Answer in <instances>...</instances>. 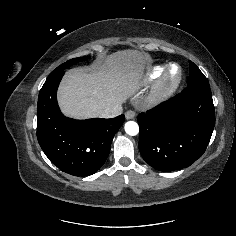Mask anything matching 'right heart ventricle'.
<instances>
[{"label": "right heart ventricle", "mask_w": 236, "mask_h": 236, "mask_svg": "<svg viewBox=\"0 0 236 236\" xmlns=\"http://www.w3.org/2000/svg\"><path fill=\"white\" fill-rule=\"evenodd\" d=\"M166 68H167L166 66L154 67L150 72V78L155 79V78L161 76L164 73V71L166 70Z\"/></svg>", "instance_id": "e07e8e85"}]
</instances>
